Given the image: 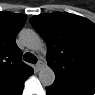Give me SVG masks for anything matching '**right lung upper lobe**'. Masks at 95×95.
<instances>
[{
	"label": "right lung upper lobe",
	"instance_id": "right-lung-upper-lobe-1",
	"mask_svg": "<svg viewBox=\"0 0 95 95\" xmlns=\"http://www.w3.org/2000/svg\"><path fill=\"white\" fill-rule=\"evenodd\" d=\"M26 15L0 12V95H20L33 69L21 61L15 38Z\"/></svg>",
	"mask_w": 95,
	"mask_h": 95
}]
</instances>
